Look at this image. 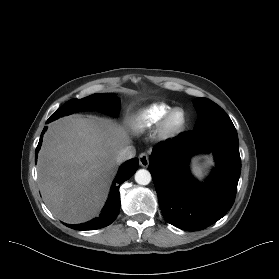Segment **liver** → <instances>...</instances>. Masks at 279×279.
Here are the masks:
<instances>
[{
	"label": "liver",
	"instance_id": "liver-1",
	"mask_svg": "<svg viewBox=\"0 0 279 279\" xmlns=\"http://www.w3.org/2000/svg\"><path fill=\"white\" fill-rule=\"evenodd\" d=\"M129 143L126 131L105 118L66 116L52 122L37 166L51 212L72 224L95 217L117 171L116 156Z\"/></svg>",
	"mask_w": 279,
	"mask_h": 279
}]
</instances>
